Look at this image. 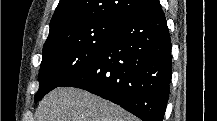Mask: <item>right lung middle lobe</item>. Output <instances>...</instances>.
I'll list each match as a JSON object with an SVG mask.
<instances>
[{"label":"right lung middle lobe","instance_id":"dd1d6c3e","mask_svg":"<svg viewBox=\"0 0 217 121\" xmlns=\"http://www.w3.org/2000/svg\"><path fill=\"white\" fill-rule=\"evenodd\" d=\"M123 23L98 20L79 24L45 44L35 102L95 61Z\"/></svg>","mask_w":217,"mask_h":121}]
</instances>
